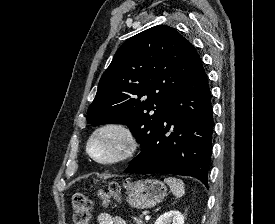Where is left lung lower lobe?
<instances>
[{"label":"left lung lower lobe","mask_w":275,"mask_h":224,"mask_svg":"<svg viewBox=\"0 0 275 224\" xmlns=\"http://www.w3.org/2000/svg\"><path fill=\"white\" fill-rule=\"evenodd\" d=\"M212 133L210 89L202 66L169 102L162 121L125 171L192 176L208 186Z\"/></svg>","instance_id":"obj_1"}]
</instances>
